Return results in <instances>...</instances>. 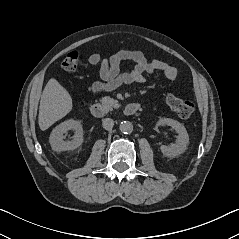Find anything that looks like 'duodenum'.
<instances>
[{
	"mask_svg": "<svg viewBox=\"0 0 239 239\" xmlns=\"http://www.w3.org/2000/svg\"><path fill=\"white\" fill-rule=\"evenodd\" d=\"M141 108L139 103H129L124 108V114L127 116L134 115ZM90 113L96 118H103L105 115V108L100 103L93 102L89 105Z\"/></svg>",
	"mask_w": 239,
	"mask_h": 239,
	"instance_id": "1",
	"label": "duodenum"
}]
</instances>
